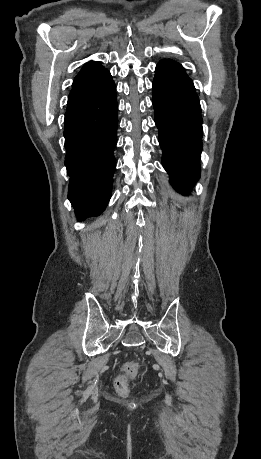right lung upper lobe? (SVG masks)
Returning <instances> with one entry per match:
<instances>
[{"label": "right lung upper lobe", "mask_w": 261, "mask_h": 459, "mask_svg": "<svg viewBox=\"0 0 261 459\" xmlns=\"http://www.w3.org/2000/svg\"><path fill=\"white\" fill-rule=\"evenodd\" d=\"M112 81L110 72L98 62L86 63L74 78L72 90L68 96L67 108L92 97Z\"/></svg>", "instance_id": "1"}]
</instances>
